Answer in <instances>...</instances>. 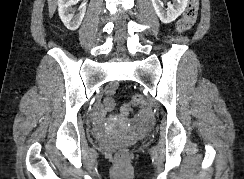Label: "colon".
I'll return each mask as SVG.
<instances>
[{"mask_svg": "<svg viewBox=\"0 0 244 179\" xmlns=\"http://www.w3.org/2000/svg\"><path fill=\"white\" fill-rule=\"evenodd\" d=\"M200 1H190L178 21L177 31L184 33L191 29L200 10ZM102 99L106 102V109H118V104H113L114 101L111 96H103ZM137 106H140L141 110H149L150 102H148V98H145V95H134L132 101H126L125 104H122L121 114L118 115V118L130 119V112H132V109H136ZM106 116H115V111H106ZM115 158H127V151L117 150Z\"/></svg>", "mask_w": 244, "mask_h": 179, "instance_id": "1", "label": "colon"}]
</instances>
